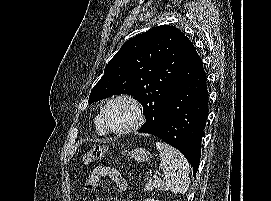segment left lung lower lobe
<instances>
[{
    "mask_svg": "<svg viewBox=\"0 0 271 201\" xmlns=\"http://www.w3.org/2000/svg\"><path fill=\"white\" fill-rule=\"evenodd\" d=\"M208 115V91L203 63L185 36L182 61L174 87L168 94L156 128L138 131L161 138L177 148L197 172Z\"/></svg>",
    "mask_w": 271,
    "mask_h": 201,
    "instance_id": "1",
    "label": "left lung lower lobe"
}]
</instances>
